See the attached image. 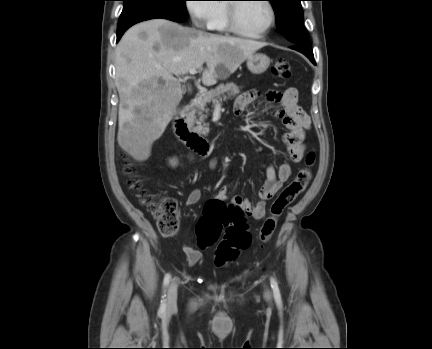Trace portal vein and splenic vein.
<instances>
[{
  "instance_id": "1",
  "label": "portal vein and splenic vein",
  "mask_w": 432,
  "mask_h": 349,
  "mask_svg": "<svg viewBox=\"0 0 432 349\" xmlns=\"http://www.w3.org/2000/svg\"><path fill=\"white\" fill-rule=\"evenodd\" d=\"M189 73H190L191 75H194V74L197 73V70H196V69H192V70L189 71ZM217 105H220L219 102H217Z\"/></svg>"
}]
</instances>
